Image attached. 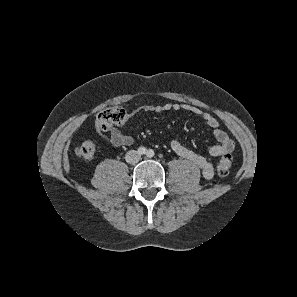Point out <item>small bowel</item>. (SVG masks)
I'll use <instances>...</instances> for the list:
<instances>
[{
    "label": "small bowel",
    "mask_w": 297,
    "mask_h": 297,
    "mask_svg": "<svg viewBox=\"0 0 297 297\" xmlns=\"http://www.w3.org/2000/svg\"><path fill=\"white\" fill-rule=\"evenodd\" d=\"M145 111L164 113L169 111H185L200 117L206 125L212 129L213 137L216 144L210 147L209 154L212 157L223 156L229 154L234 149V142L229 138L227 133L219 128L218 120L209 112L204 111L190 104L166 103L163 105L145 106ZM101 136L106 138L112 145L116 147L130 146L134 142L131 135L123 133L118 127H112L109 135ZM171 149L181 158L188 160L194 166L198 167L205 178L210 179L214 175V167L212 163L203 155L184 146L179 140L173 139L170 143Z\"/></svg>",
    "instance_id": "1"
}]
</instances>
